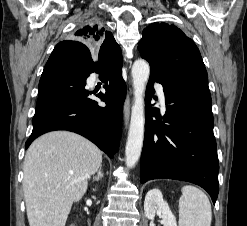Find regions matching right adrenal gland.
Here are the masks:
<instances>
[{"mask_svg": "<svg viewBox=\"0 0 247 226\" xmlns=\"http://www.w3.org/2000/svg\"><path fill=\"white\" fill-rule=\"evenodd\" d=\"M103 177V173H102V165L100 166L97 175L94 177L95 181H100Z\"/></svg>", "mask_w": 247, "mask_h": 226, "instance_id": "1", "label": "right adrenal gland"}]
</instances>
